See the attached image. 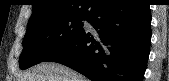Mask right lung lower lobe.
Listing matches in <instances>:
<instances>
[{
    "label": "right lung lower lobe",
    "instance_id": "right-lung-lower-lobe-1",
    "mask_svg": "<svg viewBox=\"0 0 169 81\" xmlns=\"http://www.w3.org/2000/svg\"><path fill=\"white\" fill-rule=\"evenodd\" d=\"M70 43L44 61L57 62L92 81H142L150 52L151 14L141 0H102Z\"/></svg>",
    "mask_w": 169,
    "mask_h": 81
}]
</instances>
